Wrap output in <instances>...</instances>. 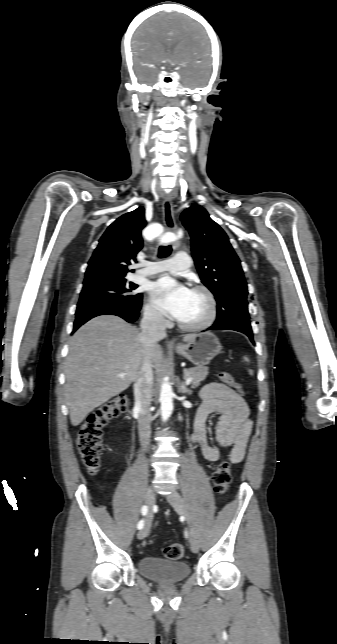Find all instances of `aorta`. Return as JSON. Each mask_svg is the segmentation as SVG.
Wrapping results in <instances>:
<instances>
[{
	"instance_id": "aorta-1",
	"label": "aorta",
	"mask_w": 337,
	"mask_h": 644,
	"mask_svg": "<svg viewBox=\"0 0 337 644\" xmlns=\"http://www.w3.org/2000/svg\"><path fill=\"white\" fill-rule=\"evenodd\" d=\"M162 233V229H151L148 234L147 238L149 240H152L158 236H160ZM173 238L170 237L169 234H166L163 236V240H172ZM160 403H161V417L163 421H166L172 414L173 411V391H172V386L170 383L166 381V378L164 379L163 383L161 384V391H160Z\"/></svg>"
}]
</instances>
